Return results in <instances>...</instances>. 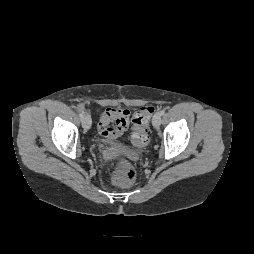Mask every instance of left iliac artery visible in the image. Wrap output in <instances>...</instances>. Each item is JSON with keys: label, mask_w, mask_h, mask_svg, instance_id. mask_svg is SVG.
Here are the masks:
<instances>
[{"label": "left iliac artery", "mask_w": 254, "mask_h": 254, "mask_svg": "<svg viewBox=\"0 0 254 254\" xmlns=\"http://www.w3.org/2000/svg\"><path fill=\"white\" fill-rule=\"evenodd\" d=\"M159 113H160V115H164L165 114V110L163 109Z\"/></svg>", "instance_id": "left-iliac-artery-1"}]
</instances>
